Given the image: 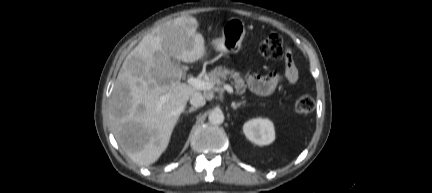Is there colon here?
<instances>
[{"label": "colon", "instance_id": "1", "mask_svg": "<svg viewBox=\"0 0 432 193\" xmlns=\"http://www.w3.org/2000/svg\"><path fill=\"white\" fill-rule=\"evenodd\" d=\"M259 50L265 57L280 59L289 56L288 48L285 46L283 39L276 34H272L260 42ZM294 108L298 113L307 114L314 110L315 101L307 94L299 96L294 102Z\"/></svg>", "mask_w": 432, "mask_h": 193}]
</instances>
